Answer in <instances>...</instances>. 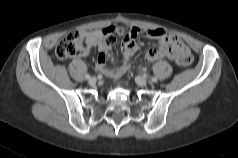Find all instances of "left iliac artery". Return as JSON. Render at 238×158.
<instances>
[{
    "label": "left iliac artery",
    "instance_id": "left-iliac-artery-1",
    "mask_svg": "<svg viewBox=\"0 0 238 158\" xmlns=\"http://www.w3.org/2000/svg\"><path fill=\"white\" fill-rule=\"evenodd\" d=\"M151 80H152V82H157V78L156 77H152Z\"/></svg>",
    "mask_w": 238,
    "mask_h": 158
}]
</instances>
